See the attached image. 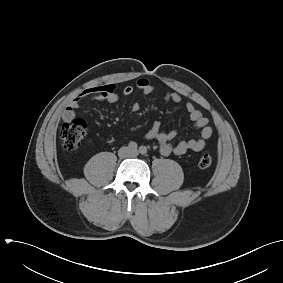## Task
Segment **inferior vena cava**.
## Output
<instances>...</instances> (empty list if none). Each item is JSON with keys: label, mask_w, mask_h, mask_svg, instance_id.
I'll return each mask as SVG.
<instances>
[{"label": "inferior vena cava", "mask_w": 283, "mask_h": 283, "mask_svg": "<svg viewBox=\"0 0 283 283\" xmlns=\"http://www.w3.org/2000/svg\"><path fill=\"white\" fill-rule=\"evenodd\" d=\"M118 155L120 157H126V156H132L134 154L131 153L126 147H122V148H120Z\"/></svg>", "instance_id": "602c4592"}]
</instances>
